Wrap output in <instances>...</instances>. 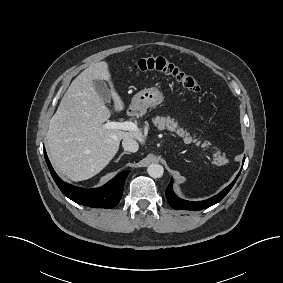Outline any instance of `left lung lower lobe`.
I'll return each mask as SVG.
<instances>
[{"mask_svg":"<svg viewBox=\"0 0 283 283\" xmlns=\"http://www.w3.org/2000/svg\"><path fill=\"white\" fill-rule=\"evenodd\" d=\"M244 160H245V158H244ZM239 174H240V172H239ZM239 174L237 175L235 180L228 187H226L223 191H221L219 194H217L216 196H214L210 199H207V200H204V201H199V202L186 201V200H182V199L178 198L175 195V193L173 192V189H172L173 180L171 179L169 185L166 188V198L168 200V203L174 209H177V210H202V209L208 208V207L218 203L219 201H221L227 195V193L230 191V189L233 187V185L236 182Z\"/></svg>","mask_w":283,"mask_h":283,"instance_id":"obj_1","label":"left lung lower lobe"}]
</instances>
